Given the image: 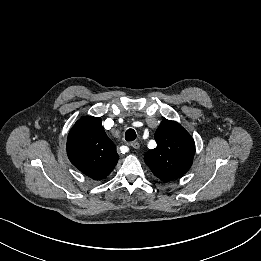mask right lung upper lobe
Masks as SVG:
<instances>
[{
  "mask_svg": "<svg viewBox=\"0 0 261 261\" xmlns=\"http://www.w3.org/2000/svg\"><path fill=\"white\" fill-rule=\"evenodd\" d=\"M101 123L99 117H84L75 123L67 139L69 160L94 180L106 178L119 159L116 146L107 137Z\"/></svg>",
  "mask_w": 261,
  "mask_h": 261,
  "instance_id": "1",
  "label": "right lung upper lobe"
}]
</instances>
